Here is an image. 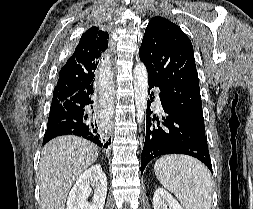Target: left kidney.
Segmentation results:
<instances>
[{
	"label": "left kidney",
	"instance_id": "5707ae66",
	"mask_svg": "<svg viewBox=\"0 0 253 209\" xmlns=\"http://www.w3.org/2000/svg\"><path fill=\"white\" fill-rule=\"evenodd\" d=\"M154 209H183L178 201L164 188H157L153 196Z\"/></svg>",
	"mask_w": 253,
	"mask_h": 209
}]
</instances>
